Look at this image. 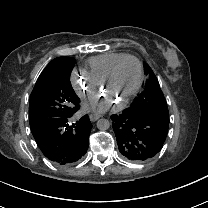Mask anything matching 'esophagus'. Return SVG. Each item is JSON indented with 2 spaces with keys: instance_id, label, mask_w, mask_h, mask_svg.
Listing matches in <instances>:
<instances>
[{
  "instance_id": "esophagus-1",
  "label": "esophagus",
  "mask_w": 208,
  "mask_h": 208,
  "mask_svg": "<svg viewBox=\"0 0 208 208\" xmlns=\"http://www.w3.org/2000/svg\"><path fill=\"white\" fill-rule=\"evenodd\" d=\"M100 118L99 115H95V114H90L89 119L94 122L96 120H98Z\"/></svg>"
}]
</instances>
